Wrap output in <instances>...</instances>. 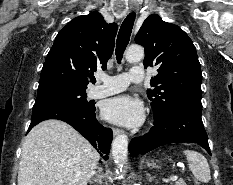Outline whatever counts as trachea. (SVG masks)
<instances>
[{
    "label": "trachea",
    "instance_id": "obj_1",
    "mask_svg": "<svg viewBox=\"0 0 233 185\" xmlns=\"http://www.w3.org/2000/svg\"><path fill=\"white\" fill-rule=\"evenodd\" d=\"M135 16L136 15L134 12L129 13V15L125 18V20L123 21L120 27V30L117 36L116 50H115L116 59L118 63L121 62L124 51L129 43L132 28H133L134 21H135Z\"/></svg>",
    "mask_w": 233,
    "mask_h": 185
}]
</instances>
